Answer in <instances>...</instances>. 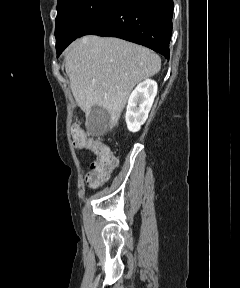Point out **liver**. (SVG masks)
I'll return each mask as SVG.
<instances>
[{
  "instance_id": "6515ba94",
  "label": "liver",
  "mask_w": 240,
  "mask_h": 288,
  "mask_svg": "<svg viewBox=\"0 0 240 288\" xmlns=\"http://www.w3.org/2000/svg\"><path fill=\"white\" fill-rule=\"evenodd\" d=\"M160 68L156 53L114 37L85 36L65 52V70L77 105L86 115L93 106L105 109L110 114V130L118 124L135 85Z\"/></svg>"
}]
</instances>
